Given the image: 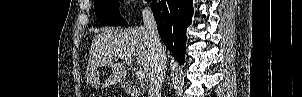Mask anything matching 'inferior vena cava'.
<instances>
[{"mask_svg": "<svg viewBox=\"0 0 302 97\" xmlns=\"http://www.w3.org/2000/svg\"><path fill=\"white\" fill-rule=\"evenodd\" d=\"M142 17L152 51L148 96L161 97V86L166 69V51L158 34L155 17L149 7L143 9Z\"/></svg>", "mask_w": 302, "mask_h": 97, "instance_id": "1", "label": "inferior vena cava"}]
</instances>
